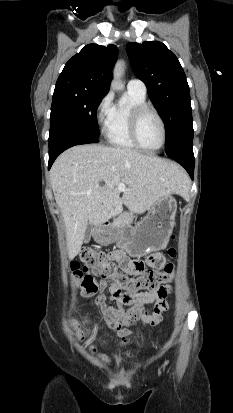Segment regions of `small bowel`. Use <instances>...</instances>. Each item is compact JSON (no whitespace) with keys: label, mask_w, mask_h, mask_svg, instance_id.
Returning a JSON list of instances; mask_svg holds the SVG:
<instances>
[{"label":"small bowel","mask_w":233,"mask_h":413,"mask_svg":"<svg viewBox=\"0 0 233 413\" xmlns=\"http://www.w3.org/2000/svg\"><path fill=\"white\" fill-rule=\"evenodd\" d=\"M111 257L119 267V271L126 276H137L145 268L143 261H136L134 255H126L122 247H115ZM164 261V257L159 253L150 252L147 256L149 266L158 267ZM105 288L109 290L108 295L103 293ZM170 290L171 287L166 285L155 291L130 293L121 291L113 283L101 282L94 305L102 313L107 326L120 338L123 346L131 340L130 327L133 325L139 322L144 325H156L162 321V312L168 306L166 298ZM107 300L113 301L115 305L107 306ZM149 303L155 304L152 312L144 310V305ZM123 306H130V308L125 310Z\"/></svg>","instance_id":"c3829d8e"}]
</instances>
